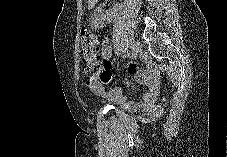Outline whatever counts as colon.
<instances>
[{"mask_svg": "<svg viewBox=\"0 0 227 157\" xmlns=\"http://www.w3.org/2000/svg\"><path fill=\"white\" fill-rule=\"evenodd\" d=\"M97 45L98 38L96 34L88 28H83L81 30V52L84 61L83 68L87 73L91 72L97 65L99 58L97 53Z\"/></svg>", "mask_w": 227, "mask_h": 157, "instance_id": "obj_1", "label": "colon"}]
</instances>
